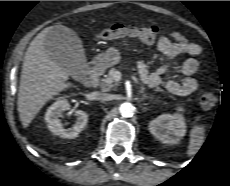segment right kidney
I'll list each match as a JSON object with an SVG mask.
<instances>
[{
	"label": "right kidney",
	"mask_w": 230,
	"mask_h": 186,
	"mask_svg": "<svg viewBox=\"0 0 230 186\" xmlns=\"http://www.w3.org/2000/svg\"><path fill=\"white\" fill-rule=\"evenodd\" d=\"M67 110H70V104L64 99H59L47 109L45 121L53 134L63 138L73 139L77 137L87 125L88 115L82 110L75 111L77 118L75 124L71 128H64L60 118L63 117V113Z\"/></svg>",
	"instance_id": "ca27d5eb"
}]
</instances>
